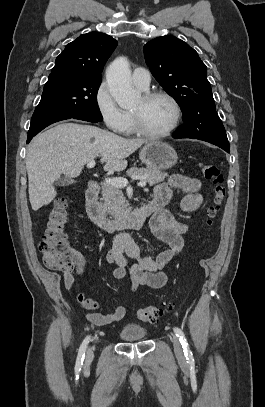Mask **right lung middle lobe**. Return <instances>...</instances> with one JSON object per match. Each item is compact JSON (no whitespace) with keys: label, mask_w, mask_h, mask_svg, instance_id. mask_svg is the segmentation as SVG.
<instances>
[{"label":"right lung middle lobe","mask_w":265,"mask_h":407,"mask_svg":"<svg viewBox=\"0 0 265 407\" xmlns=\"http://www.w3.org/2000/svg\"><path fill=\"white\" fill-rule=\"evenodd\" d=\"M101 80L68 74L49 77L31 119L28 135L35 136L48 125L69 119L87 117L102 121L97 104Z\"/></svg>","instance_id":"dd1d6c3e"}]
</instances>
